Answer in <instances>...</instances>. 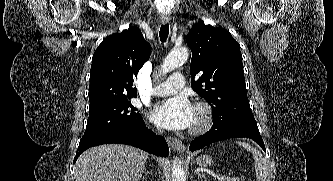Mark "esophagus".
I'll return each instance as SVG.
<instances>
[{"label":"esophagus","instance_id":"obj_1","mask_svg":"<svg viewBox=\"0 0 333 181\" xmlns=\"http://www.w3.org/2000/svg\"><path fill=\"white\" fill-rule=\"evenodd\" d=\"M169 22V18L168 17H162L161 18V23L162 24H167ZM166 141H167V143H168V145L172 148V149H174V150H176V151H182L183 149H184V146H183V144H182V142L179 140V139H177V138H173V137H166Z\"/></svg>","mask_w":333,"mask_h":181}]
</instances>
